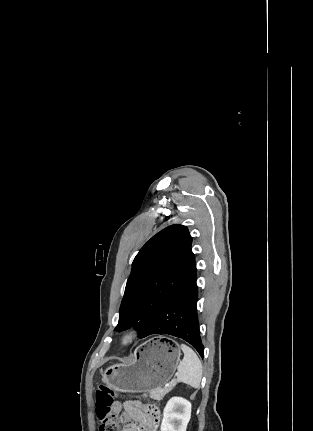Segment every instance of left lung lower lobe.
Here are the masks:
<instances>
[{"label": "left lung lower lobe", "instance_id": "obj_1", "mask_svg": "<svg viewBox=\"0 0 313 431\" xmlns=\"http://www.w3.org/2000/svg\"><path fill=\"white\" fill-rule=\"evenodd\" d=\"M196 277L161 308L149 327L141 334V338L153 334L172 335L187 341L201 357L204 356L196 309L198 299Z\"/></svg>", "mask_w": 313, "mask_h": 431}]
</instances>
